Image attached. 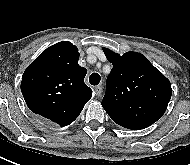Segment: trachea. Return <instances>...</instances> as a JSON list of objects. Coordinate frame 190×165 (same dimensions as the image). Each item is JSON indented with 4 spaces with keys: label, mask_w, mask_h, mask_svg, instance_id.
<instances>
[{
    "label": "trachea",
    "mask_w": 190,
    "mask_h": 165,
    "mask_svg": "<svg viewBox=\"0 0 190 165\" xmlns=\"http://www.w3.org/2000/svg\"><path fill=\"white\" fill-rule=\"evenodd\" d=\"M101 77L98 73H92L89 77V82L91 85H98L100 83Z\"/></svg>",
    "instance_id": "1"
}]
</instances>
